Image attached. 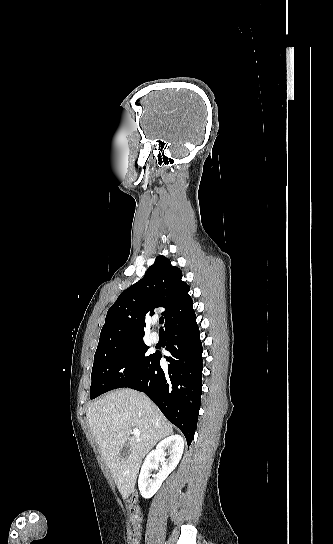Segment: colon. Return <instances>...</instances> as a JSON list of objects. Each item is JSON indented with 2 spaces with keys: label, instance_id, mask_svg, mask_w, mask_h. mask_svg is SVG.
<instances>
[{
  "label": "colon",
  "instance_id": "5ec220e1",
  "mask_svg": "<svg viewBox=\"0 0 333 544\" xmlns=\"http://www.w3.org/2000/svg\"><path fill=\"white\" fill-rule=\"evenodd\" d=\"M127 507L133 525V544H138L141 536L142 515L135 494L128 498Z\"/></svg>",
  "mask_w": 333,
  "mask_h": 544
}]
</instances>
